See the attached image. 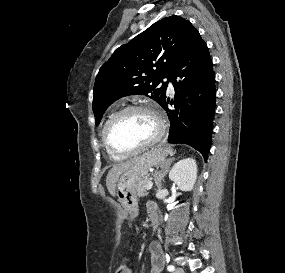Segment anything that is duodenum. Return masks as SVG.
<instances>
[{
    "instance_id": "1",
    "label": "duodenum",
    "mask_w": 285,
    "mask_h": 273,
    "mask_svg": "<svg viewBox=\"0 0 285 273\" xmlns=\"http://www.w3.org/2000/svg\"><path fill=\"white\" fill-rule=\"evenodd\" d=\"M148 215L150 218L152 229H153V231H156L159 227V216H158L157 210L156 209L150 210Z\"/></svg>"
}]
</instances>
